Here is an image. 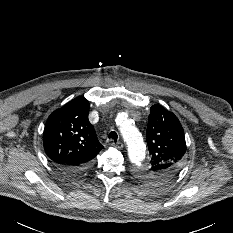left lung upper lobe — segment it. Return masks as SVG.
Instances as JSON below:
<instances>
[{
    "label": "left lung upper lobe",
    "mask_w": 233,
    "mask_h": 233,
    "mask_svg": "<svg viewBox=\"0 0 233 233\" xmlns=\"http://www.w3.org/2000/svg\"><path fill=\"white\" fill-rule=\"evenodd\" d=\"M147 126V143L152 156L141 176L154 184L163 183L179 171L186 142L178 118L161 105H153Z\"/></svg>",
    "instance_id": "5c2ea615"
}]
</instances>
